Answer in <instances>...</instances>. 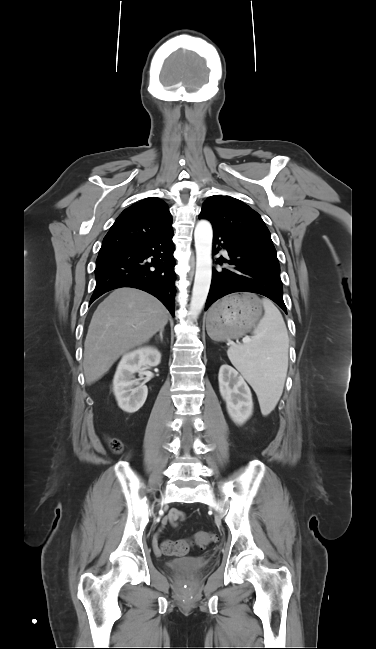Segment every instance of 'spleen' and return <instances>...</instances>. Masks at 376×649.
<instances>
[{"mask_svg":"<svg viewBox=\"0 0 376 649\" xmlns=\"http://www.w3.org/2000/svg\"><path fill=\"white\" fill-rule=\"evenodd\" d=\"M265 310L250 343L231 346L227 355L231 363L252 385L263 415L278 403L288 369L289 338L280 311L268 299H262Z\"/></svg>","mask_w":376,"mask_h":649,"instance_id":"spleen-1","label":"spleen"}]
</instances>
